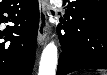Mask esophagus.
Returning <instances> with one entry per match:
<instances>
[{"mask_svg":"<svg viewBox=\"0 0 107 75\" xmlns=\"http://www.w3.org/2000/svg\"><path fill=\"white\" fill-rule=\"evenodd\" d=\"M47 1L39 0V26L37 41L39 45H43L48 37V22H47Z\"/></svg>","mask_w":107,"mask_h":75,"instance_id":"34e87169","label":"esophagus"}]
</instances>
